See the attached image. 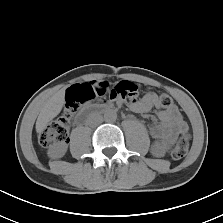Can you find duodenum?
<instances>
[{"mask_svg":"<svg viewBox=\"0 0 223 223\" xmlns=\"http://www.w3.org/2000/svg\"><path fill=\"white\" fill-rule=\"evenodd\" d=\"M114 109V106L111 104H101L95 107L87 108L83 113L77 118L78 123L86 122L93 114L100 111H111Z\"/></svg>","mask_w":223,"mask_h":223,"instance_id":"410a0bca","label":"duodenum"}]
</instances>
